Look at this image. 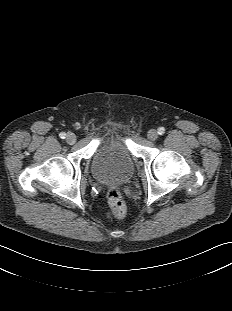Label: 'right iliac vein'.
Returning a JSON list of instances; mask_svg holds the SVG:
<instances>
[{
    "label": "right iliac vein",
    "mask_w": 232,
    "mask_h": 311,
    "mask_svg": "<svg viewBox=\"0 0 232 311\" xmlns=\"http://www.w3.org/2000/svg\"><path fill=\"white\" fill-rule=\"evenodd\" d=\"M66 142L68 144H74L76 142V136L73 133H68L66 136Z\"/></svg>",
    "instance_id": "63e3f726"
}]
</instances>
